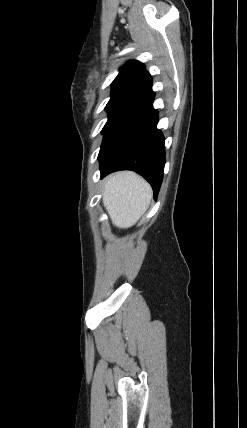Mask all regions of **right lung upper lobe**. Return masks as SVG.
Returning <instances> with one entry per match:
<instances>
[{"label": "right lung upper lobe", "instance_id": "right-lung-upper-lobe-1", "mask_svg": "<svg viewBox=\"0 0 247 428\" xmlns=\"http://www.w3.org/2000/svg\"><path fill=\"white\" fill-rule=\"evenodd\" d=\"M111 86V92H132L140 95L151 88L152 79L144 65L133 60L120 68Z\"/></svg>", "mask_w": 247, "mask_h": 428}]
</instances>
